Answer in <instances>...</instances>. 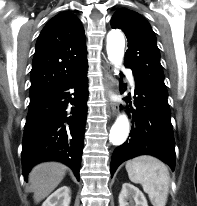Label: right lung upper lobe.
I'll list each match as a JSON object with an SVG mask.
<instances>
[{"instance_id":"1","label":"right lung upper lobe","mask_w":197,"mask_h":206,"mask_svg":"<svg viewBox=\"0 0 197 206\" xmlns=\"http://www.w3.org/2000/svg\"><path fill=\"white\" fill-rule=\"evenodd\" d=\"M85 33L70 12L53 17L40 33L31 70L30 92H48L87 64Z\"/></svg>"}]
</instances>
